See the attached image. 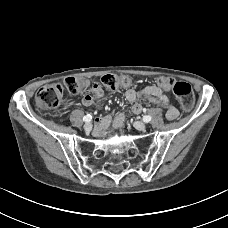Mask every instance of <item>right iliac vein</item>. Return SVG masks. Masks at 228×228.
<instances>
[{
  "label": "right iliac vein",
  "instance_id": "obj_1",
  "mask_svg": "<svg viewBox=\"0 0 228 228\" xmlns=\"http://www.w3.org/2000/svg\"><path fill=\"white\" fill-rule=\"evenodd\" d=\"M91 129H92V124L91 123H86L84 125V130L85 131H91Z\"/></svg>",
  "mask_w": 228,
  "mask_h": 228
}]
</instances>
